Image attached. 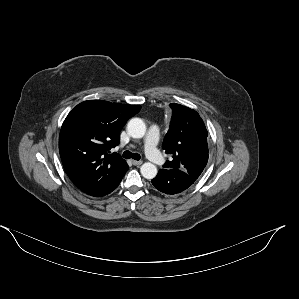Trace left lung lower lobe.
<instances>
[{
  "label": "left lung lower lobe",
  "mask_w": 299,
  "mask_h": 299,
  "mask_svg": "<svg viewBox=\"0 0 299 299\" xmlns=\"http://www.w3.org/2000/svg\"><path fill=\"white\" fill-rule=\"evenodd\" d=\"M194 182L186 172L170 168L160 169L157 176L152 179V184L156 189L170 195L186 190Z\"/></svg>",
  "instance_id": "obj_1"
}]
</instances>
